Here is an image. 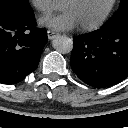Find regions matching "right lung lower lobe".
<instances>
[{
    "label": "right lung lower lobe",
    "instance_id": "right-lung-lower-lobe-1",
    "mask_svg": "<svg viewBox=\"0 0 128 128\" xmlns=\"http://www.w3.org/2000/svg\"><path fill=\"white\" fill-rule=\"evenodd\" d=\"M33 11L0 14V83L16 84L38 66L47 32Z\"/></svg>",
    "mask_w": 128,
    "mask_h": 128
}]
</instances>
